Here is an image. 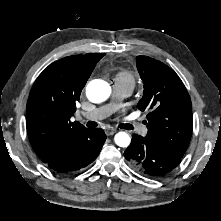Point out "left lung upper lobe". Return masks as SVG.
<instances>
[{
	"label": "left lung upper lobe",
	"instance_id": "1",
	"mask_svg": "<svg viewBox=\"0 0 221 221\" xmlns=\"http://www.w3.org/2000/svg\"><path fill=\"white\" fill-rule=\"evenodd\" d=\"M136 65L144 83L137 107L148 111L147 138L183 157L193 129L192 104L178 75L164 63L137 56Z\"/></svg>",
	"mask_w": 221,
	"mask_h": 221
}]
</instances>
